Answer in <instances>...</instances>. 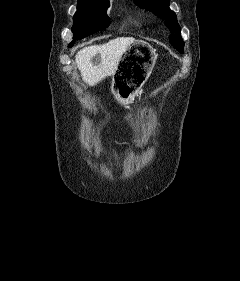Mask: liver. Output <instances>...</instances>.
<instances>
[{
  "label": "liver",
  "instance_id": "1",
  "mask_svg": "<svg viewBox=\"0 0 240 281\" xmlns=\"http://www.w3.org/2000/svg\"><path fill=\"white\" fill-rule=\"evenodd\" d=\"M135 41L133 37H118L107 43L84 47L75 56L82 80L95 86L116 73L126 49Z\"/></svg>",
  "mask_w": 240,
  "mask_h": 281
}]
</instances>
